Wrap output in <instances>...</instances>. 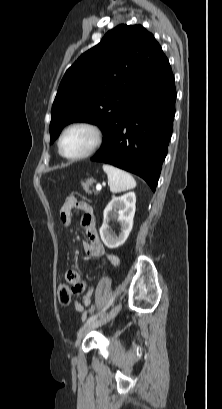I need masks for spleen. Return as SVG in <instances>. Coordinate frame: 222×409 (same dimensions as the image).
I'll return each mask as SVG.
<instances>
[{"label":"spleen","mask_w":222,"mask_h":409,"mask_svg":"<svg viewBox=\"0 0 222 409\" xmlns=\"http://www.w3.org/2000/svg\"><path fill=\"white\" fill-rule=\"evenodd\" d=\"M103 170L107 174L108 185L112 193H119L136 187V181L129 173L107 164L103 165Z\"/></svg>","instance_id":"spleen-1"}]
</instances>
